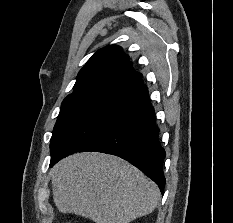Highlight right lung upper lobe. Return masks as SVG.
I'll use <instances>...</instances> for the list:
<instances>
[{
	"label": "right lung upper lobe",
	"instance_id": "obj_1",
	"mask_svg": "<svg viewBox=\"0 0 233 223\" xmlns=\"http://www.w3.org/2000/svg\"><path fill=\"white\" fill-rule=\"evenodd\" d=\"M142 83V75L133 69L122 48L112 45L90 58L77 76L73 93L68 96L103 91L124 93Z\"/></svg>",
	"mask_w": 233,
	"mask_h": 223
}]
</instances>
